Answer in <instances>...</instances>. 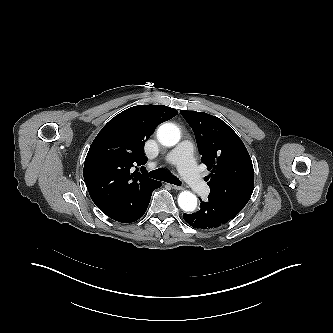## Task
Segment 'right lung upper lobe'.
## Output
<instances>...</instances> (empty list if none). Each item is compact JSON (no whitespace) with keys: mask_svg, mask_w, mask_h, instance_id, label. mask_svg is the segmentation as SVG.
Wrapping results in <instances>:
<instances>
[{"mask_svg":"<svg viewBox=\"0 0 333 333\" xmlns=\"http://www.w3.org/2000/svg\"><path fill=\"white\" fill-rule=\"evenodd\" d=\"M178 114L164 105L134 106L113 117L87 153L83 176L90 197L101 210L116 206L154 180L133 171L144 165L145 141L155 128Z\"/></svg>","mask_w":333,"mask_h":333,"instance_id":"cb5924a9","label":"right lung upper lobe"}]
</instances>
